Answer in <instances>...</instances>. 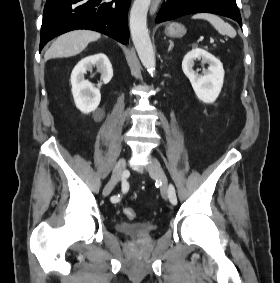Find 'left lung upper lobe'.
<instances>
[{
  "label": "left lung upper lobe",
  "instance_id": "obj_1",
  "mask_svg": "<svg viewBox=\"0 0 280 283\" xmlns=\"http://www.w3.org/2000/svg\"><path fill=\"white\" fill-rule=\"evenodd\" d=\"M229 1H231V2H233V3H236V1H235V0H229Z\"/></svg>",
  "mask_w": 280,
  "mask_h": 283
}]
</instances>
